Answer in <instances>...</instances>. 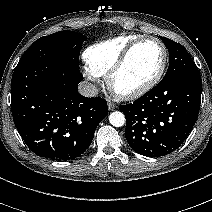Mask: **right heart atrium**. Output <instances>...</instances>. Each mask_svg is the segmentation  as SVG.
I'll list each match as a JSON object with an SVG mask.
<instances>
[{
	"label": "right heart atrium",
	"instance_id": "right-heart-atrium-1",
	"mask_svg": "<svg viewBox=\"0 0 212 212\" xmlns=\"http://www.w3.org/2000/svg\"><path fill=\"white\" fill-rule=\"evenodd\" d=\"M83 75L92 83H99L101 79V75L89 66L83 67Z\"/></svg>",
	"mask_w": 212,
	"mask_h": 212
}]
</instances>
